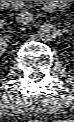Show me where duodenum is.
<instances>
[{
  "label": "duodenum",
  "instance_id": "obj_1",
  "mask_svg": "<svg viewBox=\"0 0 74 122\" xmlns=\"http://www.w3.org/2000/svg\"><path fill=\"white\" fill-rule=\"evenodd\" d=\"M1 2H2L3 6H5V7H9L11 4H13V1H1ZM60 2L61 1H46L45 9L47 11H53L58 7Z\"/></svg>",
  "mask_w": 74,
  "mask_h": 122
}]
</instances>
